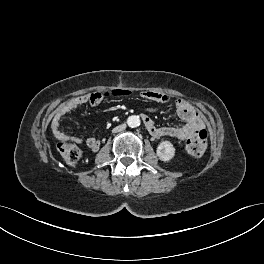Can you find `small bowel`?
<instances>
[{
  "label": "small bowel",
  "mask_w": 264,
  "mask_h": 264,
  "mask_svg": "<svg viewBox=\"0 0 264 264\" xmlns=\"http://www.w3.org/2000/svg\"><path fill=\"white\" fill-rule=\"evenodd\" d=\"M91 96L92 94L73 98L62 104L57 109L51 124L54 135L57 138L72 140L78 144L84 143L82 138L62 132L60 129V122L64 115L77 109L81 105L86 103L95 105L102 100V98H99L96 101H91ZM142 96L156 102H166L168 99L165 95L153 91H143ZM175 106L178 116L183 121V123L176 126H157L149 114H142L143 123L152 137L156 139L162 137H173L179 140H186L193 136L198 130L203 128L201 117L195 112L191 105L184 101L177 100ZM85 143L93 151H97L100 147L99 140L94 137L87 138Z\"/></svg>",
  "instance_id": "obj_1"
}]
</instances>
